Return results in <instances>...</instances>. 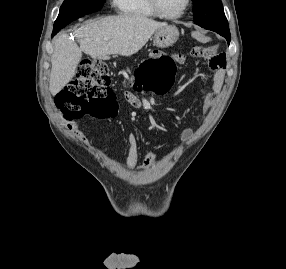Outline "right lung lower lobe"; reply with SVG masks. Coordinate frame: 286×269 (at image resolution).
Instances as JSON below:
<instances>
[{
    "mask_svg": "<svg viewBox=\"0 0 286 269\" xmlns=\"http://www.w3.org/2000/svg\"><path fill=\"white\" fill-rule=\"evenodd\" d=\"M59 31H60V30H54V31L52 32V37L55 36Z\"/></svg>",
    "mask_w": 286,
    "mask_h": 269,
    "instance_id": "98d812e1",
    "label": "right lung lower lobe"
}]
</instances>
